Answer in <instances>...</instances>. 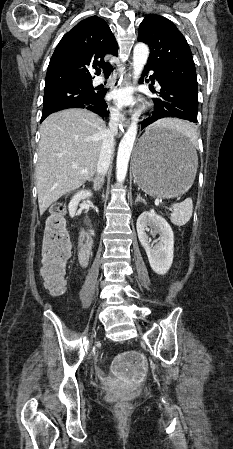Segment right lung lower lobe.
Here are the masks:
<instances>
[{"label": "right lung lower lobe", "mask_w": 233, "mask_h": 449, "mask_svg": "<svg viewBox=\"0 0 233 449\" xmlns=\"http://www.w3.org/2000/svg\"><path fill=\"white\" fill-rule=\"evenodd\" d=\"M105 94L106 92H98V96L90 102L70 103L52 111L42 112L41 122L51 113L68 108H86L97 113L100 116H108L109 112L106 110L107 104L104 100Z\"/></svg>", "instance_id": "right-lung-lower-lobe-1"}]
</instances>
